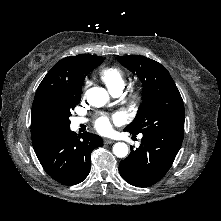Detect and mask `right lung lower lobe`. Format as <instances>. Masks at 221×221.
I'll use <instances>...</instances> for the list:
<instances>
[{
    "mask_svg": "<svg viewBox=\"0 0 221 221\" xmlns=\"http://www.w3.org/2000/svg\"><path fill=\"white\" fill-rule=\"evenodd\" d=\"M103 145L95 134L81 136L67 129L33 144L34 151L48 175L65 185L82 182L90 172L91 152Z\"/></svg>",
    "mask_w": 221,
    "mask_h": 221,
    "instance_id": "98d812e1",
    "label": "right lung lower lobe"
}]
</instances>
